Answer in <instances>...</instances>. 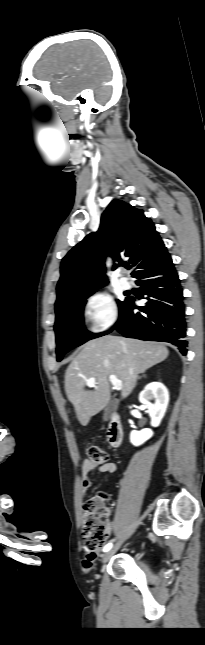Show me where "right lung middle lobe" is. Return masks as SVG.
I'll use <instances>...</instances> for the list:
<instances>
[{
	"mask_svg": "<svg viewBox=\"0 0 205 645\" xmlns=\"http://www.w3.org/2000/svg\"><path fill=\"white\" fill-rule=\"evenodd\" d=\"M91 294L80 296L71 306L56 314L55 332L57 343V361H61L63 355L69 350L82 345L88 340L99 337L100 334L88 332L84 327L83 308L86 298ZM127 299L118 301L120 313L125 306Z\"/></svg>",
	"mask_w": 205,
	"mask_h": 645,
	"instance_id": "1",
	"label": "right lung middle lobe"
}]
</instances>
